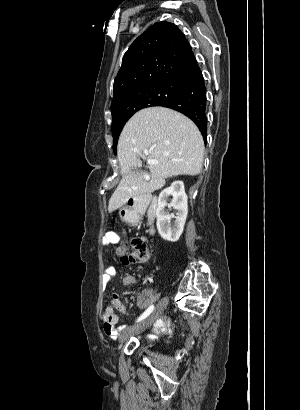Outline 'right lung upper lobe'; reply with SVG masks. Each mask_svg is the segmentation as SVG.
Listing matches in <instances>:
<instances>
[{
  "label": "right lung upper lobe",
  "instance_id": "1",
  "mask_svg": "<svg viewBox=\"0 0 300 410\" xmlns=\"http://www.w3.org/2000/svg\"><path fill=\"white\" fill-rule=\"evenodd\" d=\"M199 69L191 46L180 29L159 22L140 35L124 54L114 81L112 115L129 92L163 83H186Z\"/></svg>",
  "mask_w": 300,
  "mask_h": 410
}]
</instances>
